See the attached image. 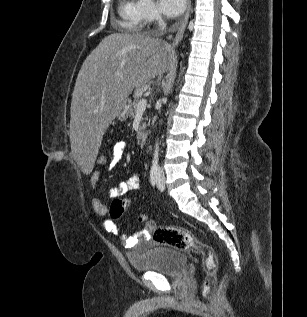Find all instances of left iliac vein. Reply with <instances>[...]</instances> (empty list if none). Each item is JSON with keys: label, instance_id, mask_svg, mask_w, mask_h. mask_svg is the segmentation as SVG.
Masks as SVG:
<instances>
[{"label": "left iliac vein", "instance_id": "1", "mask_svg": "<svg viewBox=\"0 0 307 317\" xmlns=\"http://www.w3.org/2000/svg\"><path fill=\"white\" fill-rule=\"evenodd\" d=\"M157 187L161 191L164 190L165 180H164L163 174H159V176H158Z\"/></svg>", "mask_w": 307, "mask_h": 317}]
</instances>
